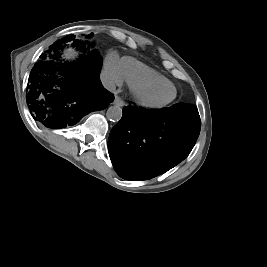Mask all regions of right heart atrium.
Segmentation results:
<instances>
[{"label":"right heart atrium","instance_id":"1","mask_svg":"<svg viewBox=\"0 0 267 267\" xmlns=\"http://www.w3.org/2000/svg\"><path fill=\"white\" fill-rule=\"evenodd\" d=\"M103 77L106 84L109 86H119L124 81L121 61L118 60L117 55L114 52H111L106 56Z\"/></svg>","mask_w":267,"mask_h":267}]
</instances>
